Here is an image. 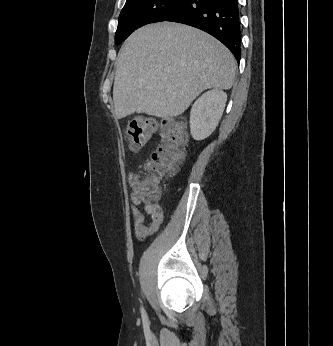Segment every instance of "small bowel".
<instances>
[{
  "label": "small bowel",
  "mask_w": 333,
  "mask_h": 346,
  "mask_svg": "<svg viewBox=\"0 0 333 346\" xmlns=\"http://www.w3.org/2000/svg\"><path fill=\"white\" fill-rule=\"evenodd\" d=\"M139 182L140 175L138 173L131 172L128 175L131 199L130 212L133 217L134 232L139 240H143L159 230L163 222V211L159 203L150 202L141 196ZM141 206L149 216L148 222H146V217L140 210Z\"/></svg>",
  "instance_id": "obj_1"
}]
</instances>
